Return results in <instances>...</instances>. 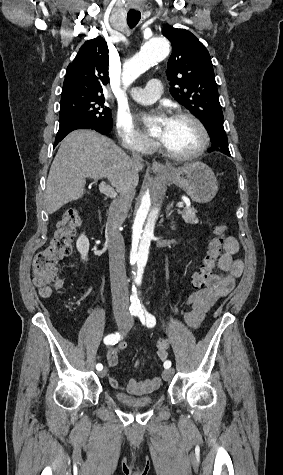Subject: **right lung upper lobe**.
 I'll use <instances>...</instances> for the list:
<instances>
[{
    "label": "right lung upper lobe",
    "mask_w": 283,
    "mask_h": 475,
    "mask_svg": "<svg viewBox=\"0 0 283 475\" xmlns=\"http://www.w3.org/2000/svg\"><path fill=\"white\" fill-rule=\"evenodd\" d=\"M108 80V47L105 40L98 36L86 41L67 67L62 95H100L102 86Z\"/></svg>",
    "instance_id": "1"
}]
</instances>
